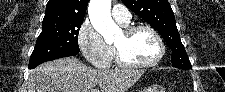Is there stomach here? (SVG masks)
<instances>
[{"label": "stomach", "instance_id": "0dacf381", "mask_svg": "<svg viewBox=\"0 0 225 92\" xmlns=\"http://www.w3.org/2000/svg\"><path fill=\"white\" fill-rule=\"evenodd\" d=\"M143 92H164L161 87H149L143 90Z\"/></svg>", "mask_w": 225, "mask_h": 92}]
</instances>
